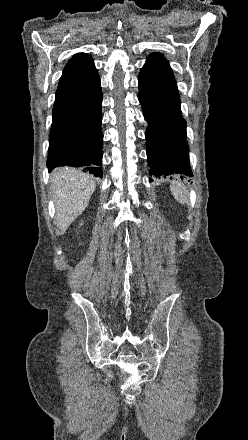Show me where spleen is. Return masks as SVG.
Here are the masks:
<instances>
[{
    "mask_svg": "<svg viewBox=\"0 0 248 440\" xmlns=\"http://www.w3.org/2000/svg\"><path fill=\"white\" fill-rule=\"evenodd\" d=\"M170 190L176 199L180 204H188L189 202V195L187 188L180 184L179 182H172L170 185Z\"/></svg>",
    "mask_w": 248,
    "mask_h": 440,
    "instance_id": "3e777b00",
    "label": "spleen"
}]
</instances>
